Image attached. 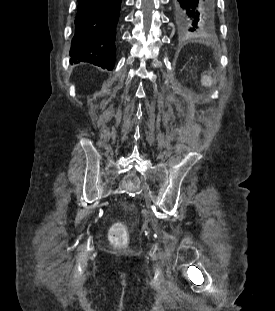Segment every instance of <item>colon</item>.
Masks as SVG:
<instances>
[{
	"label": "colon",
	"instance_id": "5ec220e1",
	"mask_svg": "<svg viewBox=\"0 0 275 311\" xmlns=\"http://www.w3.org/2000/svg\"><path fill=\"white\" fill-rule=\"evenodd\" d=\"M114 228L116 229V241L119 244H125L126 243V236L123 228L120 225H115Z\"/></svg>",
	"mask_w": 275,
	"mask_h": 311
}]
</instances>
